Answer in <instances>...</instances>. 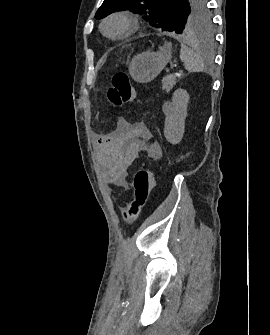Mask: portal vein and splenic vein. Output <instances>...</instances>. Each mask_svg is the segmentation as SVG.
Listing matches in <instances>:
<instances>
[{
    "label": "portal vein and splenic vein",
    "mask_w": 270,
    "mask_h": 335,
    "mask_svg": "<svg viewBox=\"0 0 270 335\" xmlns=\"http://www.w3.org/2000/svg\"><path fill=\"white\" fill-rule=\"evenodd\" d=\"M174 69L175 68H177V65H176V63H173V66H172ZM174 74H177V71H174ZM181 74H182V72H181Z\"/></svg>",
    "instance_id": "portal-vein-and-splenic-vein-1"
}]
</instances>
